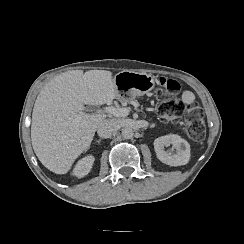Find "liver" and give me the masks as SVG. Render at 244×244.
I'll return each instance as SVG.
<instances>
[{
	"label": "liver",
	"instance_id": "6515ba94",
	"mask_svg": "<svg viewBox=\"0 0 244 244\" xmlns=\"http://www.w3.org/2000/svg\"><path fill=\"white\" fill-rule=\"evenodd\" d=\"M116 98L112 73L106 70H72L48 82L36 98L31 124L33 150L40 162L56 174L67 173L86 150L106 116L74 117L84 104L102 105Z\"/></svg>",
	"mask_w": 244,
	"mask_h": 244
}]
</instances>
